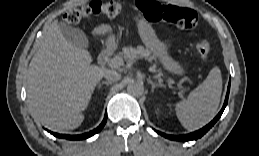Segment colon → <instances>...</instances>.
I'll use <instances>...</instances> for the list:
<instances>
[{
    "label": "colon",
    "mask_w": 259,
    "mask_h": 156,
    "mask_svg": "<svg viewBox=\"0 0 259 156\" xmlns=\"http://www.w3.org/2000/svg\"><path fill=\"white\" fill-rule=\"evenodd\" d=\"M144 16L150 21H166L180 29L193 31L198 19L195 11L175 5H165L152 0H139L137 3ZM123 5L117 1H92L78 8L65 12L63 21L66 24H77L92 16L103 15L116 17L123 12ZM196 52L201 61H206L210 52V43L203 39L196 44Z\"/></svg>",
    "instance_id": "obj_1"
}]
</instances>
